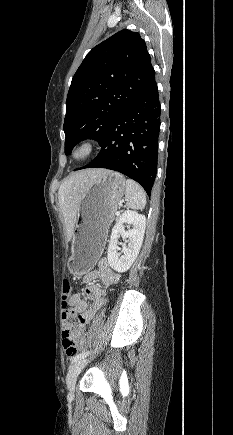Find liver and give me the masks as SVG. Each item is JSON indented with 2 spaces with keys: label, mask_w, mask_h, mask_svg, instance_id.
<instances>
[{
  "label": "liver",
  "mask_w": 233,
  "mask_h": 435,
  "mask_svg": "<svg viewBox=\"0 0 233 435\" xmlns=\"http://www.w3.org/2000/svg\"><path fill=\"white\" fill-rule=\"evenodd\" d=\"M109 170L86 169L68 176L58 190V200L66 228V238L70 241L76 225L79 206L91 184Z\"/></svg>",
  "instance_id": "obj_1"
}]
</instances>
